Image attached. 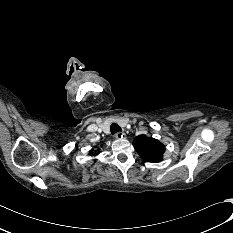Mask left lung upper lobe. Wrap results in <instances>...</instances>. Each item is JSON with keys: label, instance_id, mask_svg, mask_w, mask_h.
Here are the masks:
<instances>
[{"label": "left lung upper lobe", "instance_id": "5c2ea615", "mask_svg": "<svg viewBox=\"0 0 233 233\" xmlns=\"http://www.w3.org/2000/svg\"><path fill=\"white\" fill-rule=\"evenodd\" d=\"M133 146L140 157L147 162H160L165 151L161 142L145 135L137 136L133 141Z\"/></svg>", "mask_w": 233, "mask_h": 233}]
</instances>
